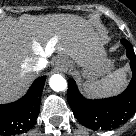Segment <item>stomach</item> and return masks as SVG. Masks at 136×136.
<instances>
[{
  "label": "stomach",
  "instance_id": "obj_1",
  "mask_svg": "<svg viewBox=\"0 0 136 136\" xmlns=\"http://www.w3.org/2000/svg\"><path fill=\"white\" fill-rule=\"evenodd\" d=\"M77 65L83 70V76L88 79H96L105 74L110 66L111 61L106 57V53L102 50L95 52L90 58L74 59ZM65 56L62 59L63 67H72L73 61Z\"/></svg>",
  "mask_w": 136,
  "mask_h": 136
}]
</instances>
